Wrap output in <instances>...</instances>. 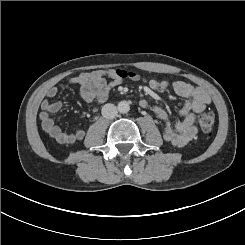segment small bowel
I'll use <instances>...</instances> for the list:
<instances>
[{"label":"small bowel","mask_w":245,"mask_h":245,"mask_svg":"<svg viewBox=\"0 0 245 245\" xmlns=\"http://www.w3.org/2000/svg\"><path fill=\"white\" fill-rule=\"evenodd\" d=\"M109 79V81H107ZM123 79L116 74L114 69L95 70L82 73L70 79V83L78 87V91L84 102H102L110 91L119 86ZM149 87L153 91H165L171 88L177 95L185 98L179 109L180 119L172 122L166 111L159 106L153 108L156 116L163 122L162 136L165 141L175 147H183L188 144L197 134L195 123L196 115L202 112L210 103V96L201 87H194L191 84L176 80L168 81L165 79H152ZM58 94L57 87L49 88L45 93V98L41 103L39 118L43 130L51 138L61 144H72L84 138V130L77 128L72 132L63 131L51 117V114L60 111L63 107L62 102L52 101ZM140 105L145 108L148 106L146 100H141Z\"/></svg>","instance_id":"obj_1"}]
</instances>
